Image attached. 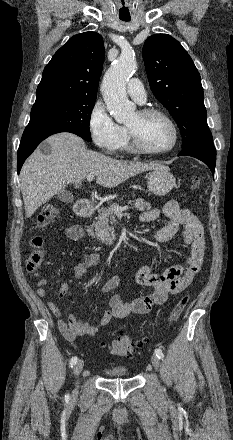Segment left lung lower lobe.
Segmentation results:
<instances>
[{
	"mask_svg": "<svg viewBox=\"0 0 233 440\" xmlns=\"http://www.w3.org/2000/svg\"><path fill=\"white\" fill-rule=\"evenodd\" d=\"M191 156L203 161L214 174L216 164V150L213 140H206L182 149L178 156Z\"/></svg>",
	"mask_w": 233,
	"mask_h": 440,
	"instance_id": "0a47b994",
	"label": "left lung lower lobe"
}]
</instances>
